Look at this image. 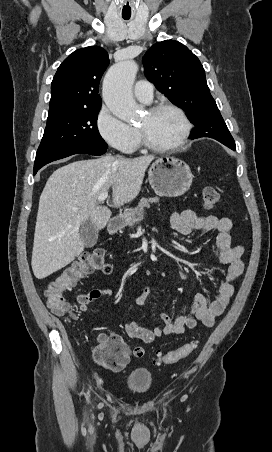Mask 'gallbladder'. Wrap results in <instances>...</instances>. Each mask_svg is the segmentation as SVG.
Returning <instances> with one entry per match:
<instances>
[{"instance_id": "gallbladder-1", "label": "gallbladder", "mask_w": 272, "mask_h": 452, "mask_svg": "<svg viewBox=\"0 0 272 452\" xmlns=\"http://www.w3.org/2000/svg\"><path fill=\"white\" fill-rule=\"evenodd\" d=\"M81 238L84 246L87 248L93 247L97 243L98 229L90 220H87L82 224Z\"/></svg>"}]
</instances>
